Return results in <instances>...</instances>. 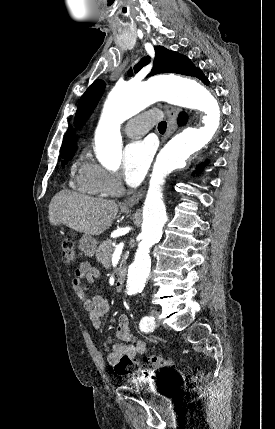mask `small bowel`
Here are the masks:
<instances>
[{
  "mask_svg": "<svg viewBox=\"0 0 275 429\" xmlns=\"http://www.w3.org/2000/svg\"><path fill=\"white\" fill-rule=\"evenodd\" d=\"M99 271L92 267L89 263L83 262L72 278V284L76 297L96 328L101 327L104 316L109 310V301L102 294H96L89 298L86 293V286L83 281L92 283L95 279L99 278ZM116 336L118 341L112 343L111 351L108 355V362L117 370L121 360L127 359L132 363H138L136 357L145 354L147 351V343L143 340L136 339L129 326V319L127 315L122 314L119 317Z\"/></svg>",
  "mask_w": 275,
  "mask_h": 429,
  "instance_id": "obj_1",
  "label": "small bowel"
}]
</instances>
